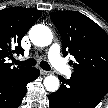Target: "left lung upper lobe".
<instances>
[{
    "mask_svg": "<svg viewBox=\"0 0 108 108\" xmlns=\"http://www.w3.org/2000/svg\"><path fill=\"white\" fill-rule=\"evenodd\" d=\"M62 38L63 55L76 59L74 74L108 78V35L88 17L75 11L50 14Z\"/></svg>",
    "mask_w": 108,
    "mask_h": 108,
    "instance_id": "left-lung-upper-lobe-1",
    "label": "left lung upper lobe"
}]
</instances>
